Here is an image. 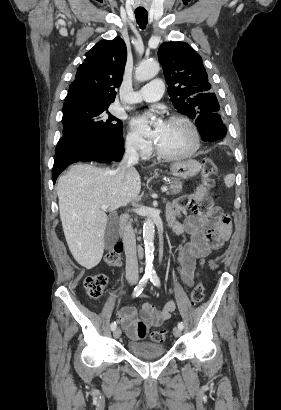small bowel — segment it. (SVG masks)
<instances>
[{
  "instance_id": "1",
  "label": "small bowel",
  "mask_w": 281,
  "mask_h": 410,
  "mask_svg": "<svg viewBox=\"0 0 281 410\" xmlns=\"http://www.w3.org/2000/svg\"><path fill=\"white\" fill-rule=\"evenodd\" d=\"M203 195L204 188L199 187L194 194L181 196L167 206L169 225L181 237L177 272L187 287L193 285L198 274L197 260L220 248L232 233L231 222L225 223L220 214H200L196 211V205L202 201ZM189 211L192 214H188ZM179 216H185L183 223L177 220ZM187 234L190 235V241L186 239ZM138 296L143 297L145 294L141 292ZM174 308L172 301L166 302L160 310L144 303L141 318H138L133 306H124L118 311L117 318L130 339L143 340L150 327L159 326L171 317Z\"/></svg>"
}]
</instances>
